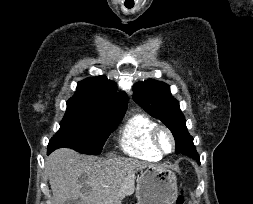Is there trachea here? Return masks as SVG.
Returning <instances> with one entry per match:
<instances>
[{
	"label": "trachea",
	"instance_id": "1",
	"mask_svg": "<svg viewBox=\"0 0 253 204\" xmlns=\"http://www.w3.org/2000/svg\"><path fill=\"white\" fill-rule=\"evenodd\" d=\"M134 5H126V8L131 9Z\"/></svg>",
	"mask_w": 253,
	"mask_h": 204
}]
</instances>
